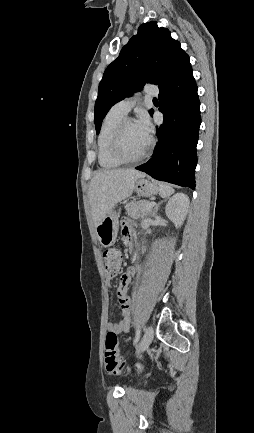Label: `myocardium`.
I'll list each match as a JSON object with an SVG mask.
<instances>
[{
	"mask_svg": "<svg viewBox=\"0 0 254 433\" xmlns=\"http://www.w3.org/2000/svg\"><path fill=\"white\" fill-rule=\"evenodd\" d=\"M131 121H134V119L131 117H124L117 125L112 138V143H111L112 153L122 163H135L141 161L147 156L148 152L150 151L153 145V140L152 138L149 137L147 146L139 155L135 157H130L124 152L122 147L123 131L126 125Z\"/></svg>",
	"mask_w": 254,
	"mask_h": 433,
	"instance_id": "obj_1",
	"label": "myocardium"
}]
</instances>
